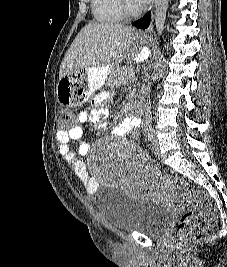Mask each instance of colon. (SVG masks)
I'll list each match as a JSON object with an SVG mask.
<instances>
[{
    "instance_id": "colon-1",
    "label": "colon",
    "mask_w": 227,
    "mask_h": 267,
    "mask_svg": "<svg viewBox=\"0 0 227 267\" xmlns=\"http://www.w3.org/2000/svg\"><path fill=\"white\" fill-rule=\"evenodd\" d=\"M59 130H70L72 110H61ZM163 182L179 201L189 208L181 215L173 235L174 249L181 252L183 247L194 241L200 234L212 229L216 218L209 197L201 190L178 177H166Z\"/></svg>"
}]
</instances>
